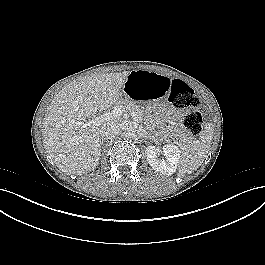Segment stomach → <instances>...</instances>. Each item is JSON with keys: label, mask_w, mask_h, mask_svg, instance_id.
Instances as JSON below:
<instances>
[{"label": "stomach", "mask_w": 265, "mask_h": 265, "mask_svg": "<svg viewBox=\"0 0 265 265\" xmlns=\"http://www.w3.org/2000/svg\"><path fill=\"white\" fill-rule=\"evenodd\" d=\"M170 79L153 71H132L124 86L126 97L135 99V105L140 114L155 118L164 113L168 105L166 92Z\"/></svg>", "instance_id": "obj_1"}]
</instances>
